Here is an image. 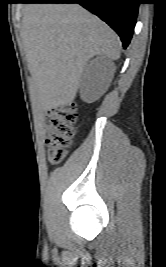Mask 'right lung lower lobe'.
I'll return each mask as SVG.
<instances>
[{"label":"right lung lower lobe","mask_w":166,"mask_h":267,"mask_svg":"<svg viewBox=\"0 0 166 267\" xmlns=\"http://www.w3.org/2000/svg\"><path fill=\"white\" fill-rule=\"evenodd\" d=\"M22 3H78L114 29L127 48L132 38L139 0H23Z\"/></svg>","instance_id":"obj_1"}]
</instances>
